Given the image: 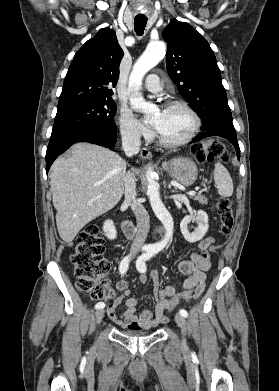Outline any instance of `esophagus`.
<instances>
[{
  "mask_svg": "<svg viewBox=\"0 0 279 391\" xmlns=\"http://www.w3.org/2000/svg\"><path fill=\"white\" fill-rule=\"evenodd\" d=\"M140 156L143 159H150L152 157V153L147 148H142L140 152Z\"/></svg>",
  "mask_w": 279,
  "mask_h": 391,
  "instance_id": "34e87169",
  "label": "esophagus"
}]
</instances>
